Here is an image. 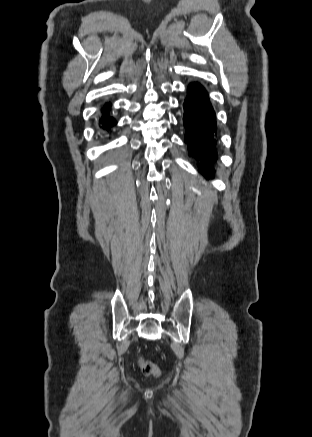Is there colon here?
I'll return each instance as SVG.
<instances>
[{
	"mask_svg": "<svg viewBox=\"0 0 312 437\" xmlns=\"http://www.w3.org/2000/svg\"><path fill=\"white\" fill-rule=\"evenodd\" d=\"M141 370L143 374L147 376L157 375L158 374V368L156 364L150 361L140 360L139 361Z\"/></svg>",
	"mask_w": 312,
	"mask_h": 437,
	"instance_id": "obj_1",
	"label": "colon"
}]
</instances>
